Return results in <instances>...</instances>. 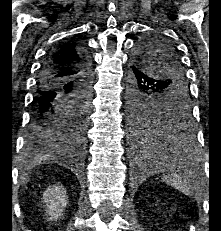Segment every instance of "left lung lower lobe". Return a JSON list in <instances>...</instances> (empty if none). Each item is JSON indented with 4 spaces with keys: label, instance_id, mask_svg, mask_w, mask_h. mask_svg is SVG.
<instances>
[{
    "label": "left lung lower lobe",
    "instance_id": "0a47b994",
    "mask_svg": "<svg viewBox=\"0 0 221 231\" xmlns=\"http://www.w3.org/2000/svg\"><path fill=\"white\" fill-rule=\"evenodd\" d=\"M130 88L131 103L129 115L131 118L136 117L142 110L145 98L148 95L156 94L160 91L163 83L158 79L149 75L141 66L134 64L130 66ZM176 128H180L179 134L156 135L152 138H140L135 132L133 135V144L140 152L147 153L151 162L161 161L157 152L166 150L171 157L166 163L173 164L180 168H184L191 157L195 154V140L190 128L189 119L181 121Z\"/></svg>",
    "mask_w": 221,
    "mask_h": 231
}]
</instances>
